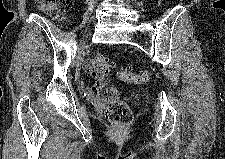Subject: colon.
Segmentation results:
<instances>
[{"instance_id":"1","label":"colon","mask_w":225,"mask_h":159,"mask_svg":"<svg viewBox=\"0 0 225 159\" xmlns=\"http://www.w3.org/2000/svg\"><path fill=\"white\" fill-rule=\"evenodd\" d=\"M39 6L43 11L54 13L59 18L69 12L73 5V0H38ZM92 68L100 79H105L111 72L113 64L103 54L98 53L93 61ZM117 78L120 81L128 82L135 85H142L149 81L148 72H134L131 68H124L118 71ZM113 92H107V101L105 104V117L114 125H126L132 119V112L127 104L111 97Z\"/></svg>"}]
</instances>
